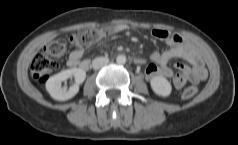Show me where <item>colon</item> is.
<instances>
[{"label": "colon", "instance_id": "5ec220e1", "mask_svg": "<svg viewBox=\"0 0 238 145\" xmlns=\"http://www.w3.org/2000/svg\"><path fill=\"white\" fill-rule=\"evenodd\" d=\"M105 34L103 29H89L73 34L69 41L76 49H84L96 42ZM67 42L56 39L48 43L33 59L31 73L39 82H46L57 70L59 59L65 54ZM197 93V87L188 86L183 90L185 99L192 98Z\"/></svg>", "mask_w": 238, "mask_h": 145}]
</instances>
